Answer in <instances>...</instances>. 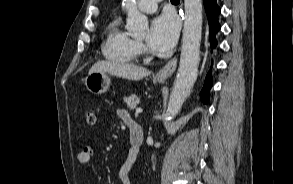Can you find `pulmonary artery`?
Returning <instances> with one entry per match:
<instances>
[{"instance_id": "1", "label": "pulmonary artery", "mask_w": 293, "mask_h": 184, "mask_svg": "<svg viewBox=\"0 0 293 184\" xmlns=\"http://www.w3.org/2000/svg\"><path fill=\"white\" fill-rule=\"evenodd\" d=\"M161 0H139L138 8L145 13H153L157 9V4Z\"/></svg>"}]
</instances>
